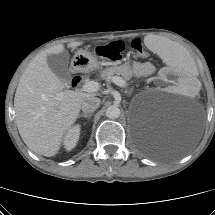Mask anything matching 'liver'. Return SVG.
<instances>
[{
  "label": "liver",
  "mask_w": 215,
  "mask_h": 215,
  "mask_svg": "<svg viewBox=\"0 0 215 215\" xmlns=\"http://www.w3.org/2000/svg\"><path fill=\"white\" fill-rule=\"evenodd\" d=\"M146 39V38H145ZM83 42H70L76 48ZM64 45L49 47L36 55L23 72L14 97L19 134L30 150L46 157L58 153L64 135L79 116L82 102L91 93L63 91L64 83L47 64L49 54H59ZM58 94L61 96L58 99Z\"/></svg>",
  "instance_id": "liver-1"
}]
</instances>
